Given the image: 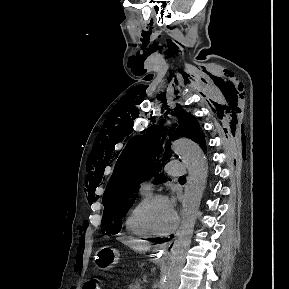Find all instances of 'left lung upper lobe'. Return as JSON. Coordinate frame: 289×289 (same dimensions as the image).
I'll return each instance as SVG.
<instances>
[{"label":"left lung upper lobe","mask_w":289,"mask_h":289,"mask_svg":"<svg viewBox=\"0 0 289 289\" xmlns=\"http://www.w3.org/2000/svg\"><path fill=\"white\" fill-rule=\"evenodd\" d=\"M179 123L165 130L152 127L149 133L129 141L117 160L110 182L103 195L104 212L101 226L105 234H116L122 228V218L135 201L136 188L143 181L160 173L165 161L171 157L170 142L179 137L190 138L205 149L204 136L197 119L182 108H176ZM167 137L166 146L163 141Z\"/></svg>","instance_id":"5c2ea615"}]
</instances>
